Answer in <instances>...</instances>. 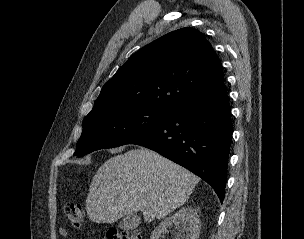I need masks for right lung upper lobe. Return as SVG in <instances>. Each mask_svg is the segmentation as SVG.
I'll list each match as a JSON object with an SVG mask.
<instances>
[{"mask_svg":"<svg viewBox=\"0 0 304 239\" xmlns=\"http://www.w3.org/2000/svg\"><path fill=\"white\" fill-rule=\"evenodd\" d=\"M222 81L221 63L205 36L194 28L178 29L132 55L105 83L86 117L128 107L170 112Z\"/></svg>","mask_w":304,"mask_h":239,"instance_id":"obj_1","label":"right lung upper lobe"}]
</instances>
